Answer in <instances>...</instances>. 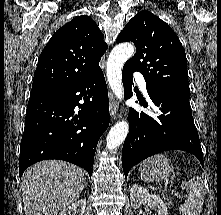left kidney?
I'll return each instance as SVG.
<instances>
[{
	"mask_svg": "<svg viewBox=\"0 0 221 215\" xmlns=\"http://www.w3.org/2000/svg\"><path fill=\"white\" fill-rule=\"evenodd\" d=\"M130 200L131 206L134 209H138L140 208L141 204L147 203V205L155 210L158 215H168L166 204L163 202L160 196L149 193L146 188L139 186L138 184L131 187Z\"/></svg>",
	"mask_w": 221,
	"mask_h": 215,
	"instance_id": "obj_1",
	"label": "left kidney"
}]
</instances>
